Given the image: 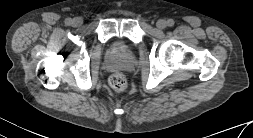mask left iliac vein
I'll list each match as a JSON object with an SVG mask.
<instances>
[{
    "label": "left iliac vein",
    "instance_id": "obj_1",
    "mask_svg": "<svg viewBox=\"0 0 253 138\" xmlns=\"http://www.w3.org/2000/svg\"><path fill=\"white\" fill-rule=\"evenodd\" d=\"M156 26L158 29L162 30V29H165L167 27V22L164 20V19H159L157 22H156Z\"/></svg>",
    "mask_w": 253,
    "mask_h": 138
}]
</instances>
